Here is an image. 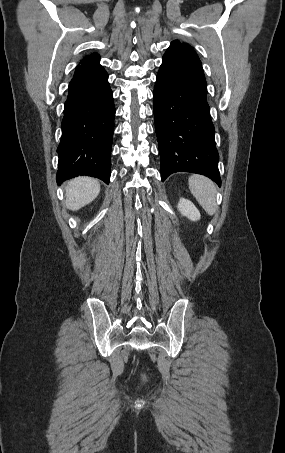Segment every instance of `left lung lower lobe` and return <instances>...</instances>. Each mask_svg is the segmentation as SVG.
Here are the masks:
<instances>
[{
	"label": "left lung lower lobe",
	"instance_id": "0a47b994",
	"mask_svg": "<svg viewBox=\"0 0 285 453\" xmlns=\"http://www.w3.org/2000/svg\"><path fill=\"white\" fill-rule=\"evenodd\" d=\"M206 97L198 55L191 46L171 43L153 93L162 181L175 172H192L221 185L215 129Z\"/></svg>",
	"mask_w": 285,
	"mask_h": 453
}]
</instances>
